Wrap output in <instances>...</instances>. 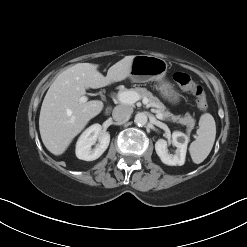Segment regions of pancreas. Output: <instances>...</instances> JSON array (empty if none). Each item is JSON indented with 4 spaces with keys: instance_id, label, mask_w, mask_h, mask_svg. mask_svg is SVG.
Segmentation results:
<instances>
[{
    "instance_id": "1",
    "label": "pancreas",
    "mask_w": 247,
    "mask_h": 247,
    "mask_svg": "<svg viewBox=\"0 0 247 247\" xmlns=\"http://www.w3.org/2000/svg\"><path fill=\"white\" fill-rule=\"evenodd\" d=\"M132 91L137 93L140 98L148 99V106L156 108V111L161 113L165 118L172 120L173 122L180 123L187 127V133L189 134L195 126V120L189 113H186L184 117L174 116L170 113L165 105L146 88L135 87L133 89L120 90L119 92Z\"/></svg>"
}]
</instances>
